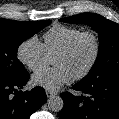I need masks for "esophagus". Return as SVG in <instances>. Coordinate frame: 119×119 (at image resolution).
Listing matches in <instances>:
<instances>
[{
    "instance_id": "esophagus-1",
    "label": "esophagus",
    "mask_w": 119,
    "mask_h": 119,
    "mask_svg": "<svg viewBox=\"0 0 119 119\" xmlns=\"http://www.w3.org/2000/svg\"><path fill=\"white\" fill-rule=\"evenodd\" d=\"M46 95L49 98V97H53V96L57 95V93L54 91L46 90Z\"/></svg>"
}]
</instances>
